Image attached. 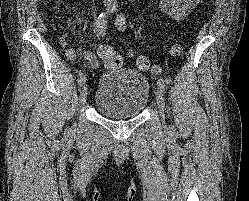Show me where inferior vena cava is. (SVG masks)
<instances>
[{
  "label": "inferior vena cava",
  "instance_id": "inferior-vena-cava-1",
  "mask_svg": "<svg viewBox=\"0 0 249 201\" xmlns=\"http://www.w3.org/2000/svg\"><path fill=\"white\" fill-rule=\"evenodd\" d=\"M104 4L107 6L115 5L116 0H103Z\"/></svg>",
  "mask_w": 249,
  "mask_h": 201
}]
</instances>
